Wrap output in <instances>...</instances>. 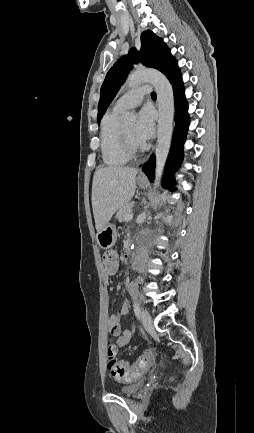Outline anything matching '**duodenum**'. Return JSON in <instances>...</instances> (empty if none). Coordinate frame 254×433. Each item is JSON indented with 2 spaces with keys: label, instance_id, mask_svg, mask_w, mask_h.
Returning a JSON list of instances; mask_svg holds the SVG:
<instances>
[{
  "label": "duodenum",
  "instance_id": "410a0bca",
  "mask_svg": "<svg viewBox=\"0 0 254 433\" xmlns=\"http://www.w3.org/2000/svg\"><path fill=\"white\" fill-rule=\"evenodd\" d=\"M126 249H127V251L130 250V242L129 241H127V243H126Z\"/></svg>",
  "mask_w": 254,
  "mask_h": 433
}]
</instances>
